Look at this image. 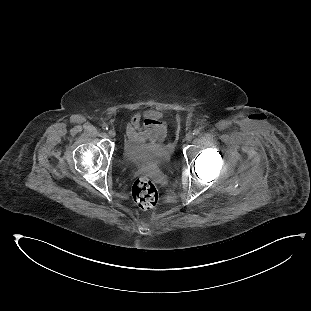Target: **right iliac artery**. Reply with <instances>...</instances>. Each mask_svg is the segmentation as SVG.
Segmentation results:
<instances>
[{"mask_svg": "<svg viewBox=\"0 0 311 311\" xmlns=\"http://www.w3.org/2000/svg\"><path fill=\"white\" fill-rule=\"evenodd\" d=\"M102 128H103L104 130H107V129H108V125H107V124H103V125H102Z\"/></svg>", "mask_w": 311, "mask_h": 311, "instance_id": "obj_1", "label": "right iliac artery"}]
</instances>
